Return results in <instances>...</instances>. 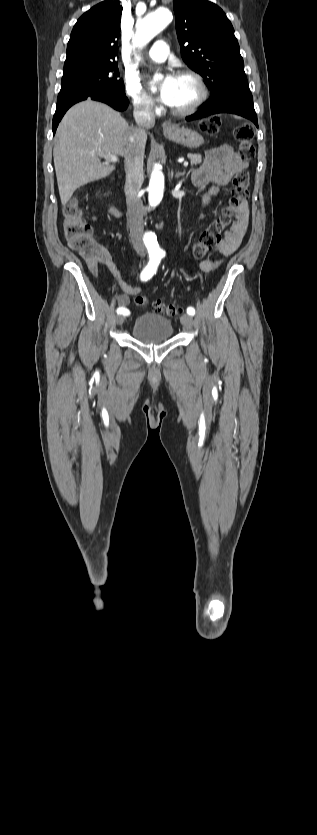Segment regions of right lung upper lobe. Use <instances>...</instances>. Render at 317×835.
Instances as JSON below:
<instances>
[{"label": "right lung upper lobe", "instance_id": "obj_1", "mask_svg": "<svg viewBox=\"0 0 317 835\" xmlns=\"http://www.w3.org/2000/svg\"><path fill=\"white\" fill-rule=\"evenodd\" d=\"M121 13L122 6L109 0L84 13L71 32L65 63L117 64Z\"/></svg>", "mask_w": 317, "mask_h": 835}]
</instances>
